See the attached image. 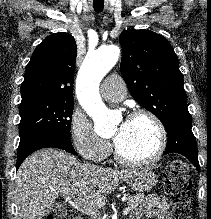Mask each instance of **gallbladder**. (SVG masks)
I'll list each match as a JSON object with an SVG mask.
<instances>
[{"mask_svg": "<svg viewBox=\"0 0 211 219\" xmlns=\"http://www.w3.org/2000/svg\"><path fill=\"white\" fill-rule=\"evenodd\" d=\"M54 211L59 215H64L66 213V210L59 204L54 206Z\"/></svg>", "mask_w": 211, "mask_h": 219, "instance_id": "gallbladder-1", "label": "gallbladder"}]
</instances>
